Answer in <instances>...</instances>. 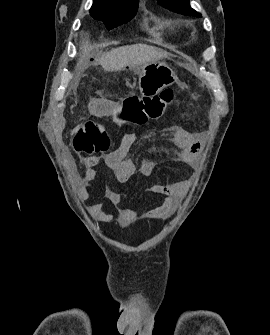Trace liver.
<instances>
[{"instance_id":"liver-1","label":"liver","mask_w":270,"mask_h":335,"mask_svg":"<svg viewBox=\"0 0 270 335\" xmlns=\"http://www.w3.org/2000/svg\"><path fill=\"white\" fill-rule=\"evenodd\" d=\"M80 50H82V58H85V60L91 58L87 44H83ZM166 56H169L168 52L159 50V48H153V46H147V44H133V46L113 48L111 52L102 56L98 62L106 72H118V70H123L127 66L130 70L140 72L142 66L147 62H156V60L166 58Z\"/></svg>"}]
</instances>
